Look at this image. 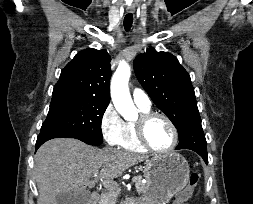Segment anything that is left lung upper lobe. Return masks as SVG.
<instances>
[{"label": "left lung upper lobe", "mask_w": 253, "mask_h": 204, "mask_svg": "<svg viewBox=\"0 0 253 204\" xmlns=\"http://www.w3.org/2000/svg\"><path fill=\"white\" fill-rule=\"evenodd\" d=\"M134 70L153 102L177 128L179 137L191 122L200 119L190 76L174 55L148 49L135 58Z\"/></svg>", "instance_id": "5c2ea615"}]
</instances>
